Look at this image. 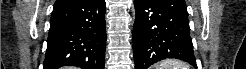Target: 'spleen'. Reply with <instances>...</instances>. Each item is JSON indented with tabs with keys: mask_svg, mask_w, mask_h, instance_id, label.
I'll return each mask as SVG.
<instances>
[{
	"mask_svg": "<svg viewBox=\"0 0 246 69\" xmlns=\"http://www.w3.org/2000/svg\"><path fill=\"white\" fill-rule=\"evenodd\" d=\"M155 69H190V65L183 61L167 59L160 64L155 65Z\"/></svg>",
	"mask_w": 246,
	"mask_h": 69,
	"instance_id": "obj_1",
	"label": "spleen"
}]
</instances>
